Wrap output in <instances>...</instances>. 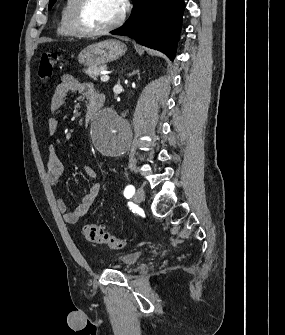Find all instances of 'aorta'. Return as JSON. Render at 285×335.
<instances>
[{
	"label": "aorta",
	"instance_id": "obj_1",
	"mask_svg": "<svg viewBox=\"0 0 285 335\" xmlns=\"http://www.w3.org/2000/svg\"><path fill=\"white\" fill-rule=\"evenodd\" d=\"M117 102H125V95H114L110 105H103V112H95V119H90L87 134L93 137L92 147H99L100 156H121L128 152L133 131L120 119Z\"/></svg>",
	"mask_w": 285,
	"mask_h": 335
}]
</instances>
